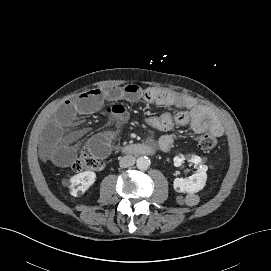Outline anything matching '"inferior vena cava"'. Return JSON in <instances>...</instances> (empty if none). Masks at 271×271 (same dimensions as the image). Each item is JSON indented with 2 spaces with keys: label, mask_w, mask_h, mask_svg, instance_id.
<instances>
[{
  "label": "inferior vena cava",
  "mask_w": 271,
  "mask_h": 271,
  "mask_svg": "<svg viewBox=\"0 0 271 271\" xmlns=\"http://www.w3.org/2000/svg\"><path fill=\"white\" fill-rule=\"evenodd\" d=\"M135 161V157H133L132 155H126L120 159L119 165L122 168H127L133 166L135 164Z\"/></svg>",
  "instance_id": "602c4592"
}]
</instances>
